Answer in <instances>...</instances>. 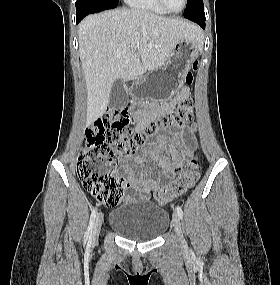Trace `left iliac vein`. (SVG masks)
<instances>
[{
    "mask_svg": "<svg viewBox=\"0 0 280 285\" xmlns=\"http://www.w3.org/2000/svg\"><path fill=\"white\" fill-rule=\"evenodd\" d=\"M172 227H173V230H174L179 242L182 243L183 242V233H182L180 218H179L177 212H173Z\"/></svg>",
    "mask_w": 280,
    "mask_h": 285,
    "instance_id": "1",
    "label": "left iliac vein"
}]
</instances>
